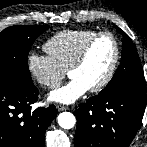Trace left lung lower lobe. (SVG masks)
<instances>
[{"label": "left lung lower lobe", "mask_w": 147, "mask_h": 147, "mask_svg": "<svg viewBox=\"0 0 147 147\" xmlns=\"http://www.w3.org/2000/svg\"><path fill=\"white\" fill-rule=\"evenodd\" d=\"M146 92L96 95L76 110L75 147H129L141 126Z\"/></svg>", "instance_id": "1"}]
</instances>
